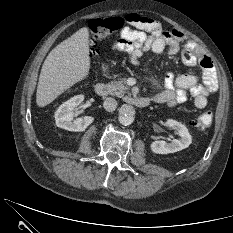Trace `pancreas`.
<instances>
[{
    "instance_id": "1",
    "label": "pancreas",
    "mask_w": 233,
    "mask_h": 233,
    "mask_svg": "<svg viewBox=\"0 0 233 233\" xmlns=\"http://www.w3.org/2000/svg\"><path fill=\"white\" fill-rule=\"evenodd\" d=\"M106 86L109 94L113 96H122L129 92V86L126 84L125 78L120 81H111Z\"/></svg>"
}]
</instances>
